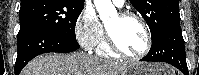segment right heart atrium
I'll list each match as a JSON object with an SVG mask.
<instances>
[{
	"label": "right heart atrium",
	"instance_id": "obj_1",
	"mask_svg": "<svg viewBox=\"0 0 199 75\" xmlns=\"http://www.w3.org/2000/svg\"><path fill=\"white\" fill-rule=\"evenodd\" d=\"M75 34L78 42L87 50L95 49L104 39V29L96 13L85 8L79 15Z\"/></svg>",
	"mask_w": 199,
	"mask_h": 75
}]
</instances>
